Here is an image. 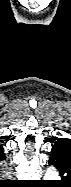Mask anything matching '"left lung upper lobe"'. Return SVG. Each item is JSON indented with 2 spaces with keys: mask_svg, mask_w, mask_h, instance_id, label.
<instances>
[{
  "mask_svg": "<svg viewBox=\"0 0 71 187\" xmlns=\"http://www.w3.org/2000/svg\"><path fill=\"white\" fill-rule=\"evenodd\" d=\"M54 145L64 147V148H69L71 150V139L59 138L57 139Z\"/></svg>",
  "mask_w": 71,
  "mask_h": 187,
  "instance_id": "left-lung-upper-lobe-1",
  "label": "left lung upper lobe"
}]
</instances>
